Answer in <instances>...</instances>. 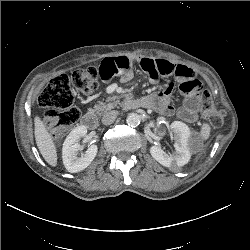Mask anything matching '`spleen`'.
Masks as SVG:
<instances>
[{
	"label": "spleen",
	"instance_id": "obj_1",
	"mask_svg": "<svg viewBox=\"0 0 250 250\" xmlns=\"http://www.w3.org/2000/svg\"><path fill=\"white\" fill-rule=\"evenodd\" d=\"M210 126L208 124H203L201 127L200 135L203 140H207L210 136Z\"/></svg>",
	"mask_w": 250,
	"mask_h": 250
}]
</instances>
